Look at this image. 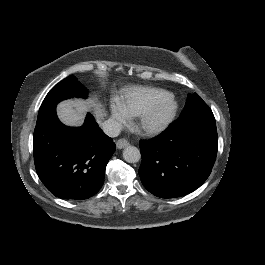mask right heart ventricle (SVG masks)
I'll use <instances>...</instances> for the list:
<instances>
[{
    "label": "right heart ventricle",
    "mask_w": 265,
    "mask_h": 265,
    "mask_svg": "<svg viewBox=\"0 0 265 265\" xmlns=\"http://www.w3.org/2000/svg\"><path fill=\"white\" fill-rule=\"evenodd\" d=\"M157 91L159 89L156 88H135L122 96L115 97L114 106L121 115L130 119L139 115Z\"/></svg>",
    "instance_id": "e07e8e85"
}]
</instances>
